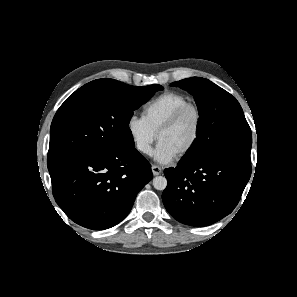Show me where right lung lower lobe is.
Listing matches in <instances>:
<instances>
[{"label": "right lung lower lobe", "mask_w": 297, "mask_h": 297, "mask_svg": "<svg viewBox=\"0 0 297 297\" xmlns=\"http://www.w3.org/2000/svg\"><path fill=\"white\" fill-rule=\"evenodd\" d=\"M49 173L60 208L75 223L93 230L122 221L153 177L149 162L134 147L74 154Z\"/></svg>", "instance_id": "obj_1"}]
</instances>
